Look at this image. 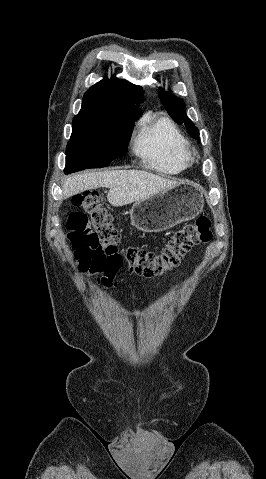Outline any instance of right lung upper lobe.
I'll list each match as a JSON object with an SVG mask.
<instances>
[{"mask_svg":"<svg viewBox=\"0 0 266 479\" xmlns=\"http://www.w3.org/2000/svg\"><path fill=\"white\" fill-rule=\"evenodd\" d=\"M142 87L115 76L105 77L89 88L82 101L80 112L74 117L136 120L141 115L137 107L142 102Z\"/></svg>","mask_w":266,"mask_h":479,"instance_id":"obj_1","label":"right lung upper lobe"}]
</instances>
